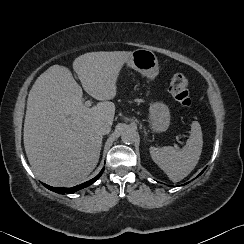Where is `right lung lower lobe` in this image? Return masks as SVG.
I'll return each instance as SVG.
<instances>
[{
	"label": "right lung lower lobe",
	"mask_w": 244,
	"mask_h": 244,
	"mask_svg": "<svg viewBox=\"0 0 244 244\" xmlns=\"http://www.w3.org/2000/svg\"><path fill=\"white\" fill-rule=\"evenodd\" d=\"M103 171H104V168H103V169L101 170V172H100L96 177H94L93 179H91V180H89V181H87V182H85V183H82V184H80V185H78V186L72 187V188H57V187H51V186L46 185V184H44V183H43V185H44L46 188H48L49 190H52V191H54V192H56V193H59V194H65V193H67V194H72V193H74V192H76V191H78V190H80V189H83V188L88 187L89 185L93 184V183H94V182H95V181L102 175Z\"/></svg>",
	"instance_id": "obj_1"
}]
</instances>
